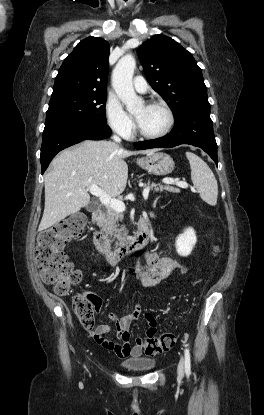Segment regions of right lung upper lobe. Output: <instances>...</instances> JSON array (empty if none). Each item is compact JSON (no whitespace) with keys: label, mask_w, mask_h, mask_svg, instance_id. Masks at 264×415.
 Segmentation results:
<instances>
[{"label":"right lung upper lobe","mask_w":264,"mask_h":415,"mask_svg":"<svg viewBox=\"0 0 264 415\" xmlns=\"http://www.w3.org/2000/svg\"><path fill=\"white\" fill-rule=\"evenodd\" d=\"M110 46L102 38L82 40L67 56L56 76L53 93L106 92Z\"/></svg>","instance_id":"obj_1"}]
</instances>
